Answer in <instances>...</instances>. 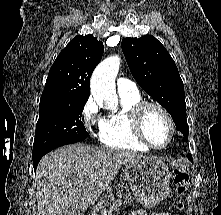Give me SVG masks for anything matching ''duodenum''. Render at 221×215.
<instances>
[{
    "mask_svg": "<svg viewBox=\"0 0 221 215\" xmlns=\"http://www.w3.org/2000/svg\"><path fill=\"white\" fill-rule=\"evenodd\" d=\"M84 215H91L90 213H86V214H84Z\"/></svg>",
    "mask_w": 221,
    "mask_h": 215,
    "instance_id": "1",
    "label": "duodenum"
}]
</instances>
